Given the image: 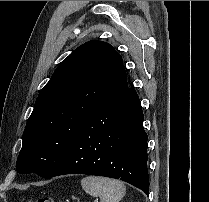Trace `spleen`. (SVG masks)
Wrapping results in <instances>:
<instances>
[{
  "mask_svg": "<svg viewBox=\"0 0 209 202\" xmlns=\"http://www.w3.org/2000/svg\"><path fill=\"white\" fill-rule=\"evenodd\" d=\"M81 186L87 194L100 197L101 202H119L126 193L123 182L106 177H84Z\"/></svg>",
  "mask_w": 209,
  "mask_h": 202,
  "instance_id": "spleen-1",
  "label": "spleen"
}]
</instances>
